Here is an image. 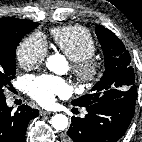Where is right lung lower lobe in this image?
Here are the masks:
<instances>
[{
	"instance_id": "obj_1",
	"label": "right lung lower lobe",
	"mask_w": 142,
	"mask_h": 142,
	"mask_svg": "<svg viewBox=\"0 0 142 142\" xmlns=\"http://www.w3.org/2000/svg\"><path fill=\"white\" fill-rule=\"evenodd\" d=\"M0 97V142H24L26 129L31 119L39 115L37 109L21 105L15 113Z\"/></svg>"
}]
</instances>
